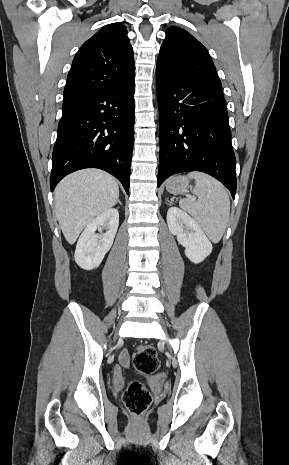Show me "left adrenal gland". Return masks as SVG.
Wrapping results in <instances>:
<instances>
[{
	"instance_id": "1",
	"label": "left adrenal gland",
	"mask_w": 289,
	"mask_h": 465,
	"mask_svg": "<svg viewBox=\"0 0 289 465\" xmlns=\"http://www.w3.org/2000/svg\"><path fill=\"white\" fill-rule=\"evenodd\" d=\"M166 202H168L169 204H171V203H172V202H171V201H169L168 199H166Z\"/></svg>"
}]
</instances>
